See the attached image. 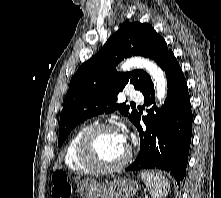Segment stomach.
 <instances>
[{
	"mask_svg": "<svg viewBox=\"0 0 221 198\" xmlns=\"http://www.w3.org/2000/svg\"><path fill=\"white\" fill-rule=\"evenodd\" d=\"M138 190V183L126 177L105 182L84 179L78 185V193L82 198H132Z\"/></svg>",
	"mask_w": 221,
	"mask_h": 198,
	"instance_id": "1",
	"label": "stomach"
}]
</instances>
